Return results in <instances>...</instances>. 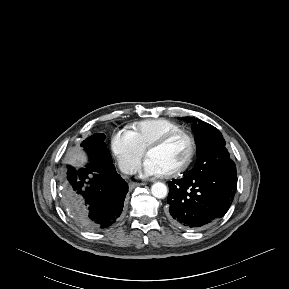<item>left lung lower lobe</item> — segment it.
Returning <instances> with one entry per match:
<instances>
[{
  "label": "left lung lower lobe",
  "instance_id": "obj_1",
  "mask_svg": "<svg viewBox=\"0 0 289 289\" xmlns=\"http://www.w3.org/2000/svg\"><path fill=\"white\" fill-rule=\"evenodd\" d=\"M167 218L179 228H203L223 217L233 201L237 177L219 168L187 173L168 183Z\"/></svg>",
  "mask_w": 289,
  "mask_h": 289
}]
</instances>
